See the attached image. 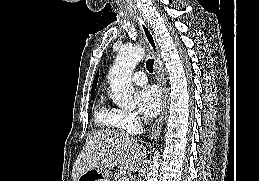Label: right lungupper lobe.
Returning a JSON list of instances; mask_svg holds the SVG:
<instances>
[{"label": "right lung upper lobe", "mask_w": 259, "mask_h": 181, "mask_svg": "<svg viewBox=\"0 0 259 181\" xmlns=\"http://www.w3.org/2000/svg\"><path fill=\"white\" fill-rule=\"evenodd\" d=\"M97 80H98V72H97V74H96V76L94 78V81H93L92 92H91L92 94H93V92L95 90V87L97 85Z\"/></svg>", "instance_id": "obj_1"}]
</instances>
